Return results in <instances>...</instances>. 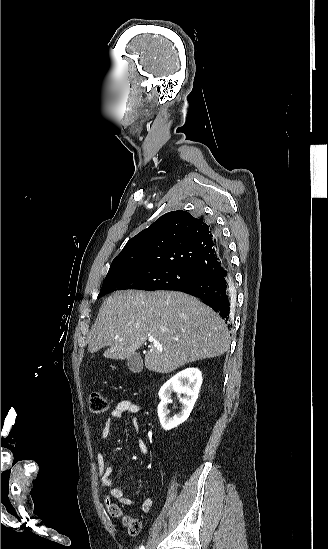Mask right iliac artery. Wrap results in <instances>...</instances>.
<instances>
[{"mask_svg": "<svg viewBox=\"0 0 328 549\" xmlns=\"http://www.w3.org/2000/svg\"><path fill=\"white\" fill-rule=\"evenodd\" d=\"M140 549H144V546H141Z\"/></svg>", "mask_w": 328, "mask_h": 549, "instance_id": "1", "label": "right iliac artery"}]
</instances>
